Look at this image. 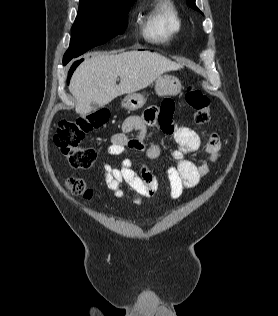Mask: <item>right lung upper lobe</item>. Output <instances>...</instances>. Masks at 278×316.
Here are the masks:
<instances>
[{
  "mask_svg": "<svg viewBox=\"0 0 278 316\" xmlns=\"http://www.w3.org/2000/svg\"><path fill=\"white\" fill-rule=\"evenodd\" d=\"M123 1H133V0H80V2H94L100 4H107V3H117Z\"/></svg>",
  "mask_w": 278,
  "mask_h": 316,
  "instance_id": "obj_1",
  "label": "right lung upper lobe"
}]
</instances>
